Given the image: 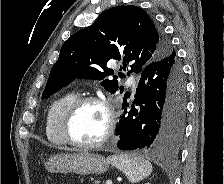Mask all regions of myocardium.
<instances>
[{
    "instance_id": "obj_1",
    "label": "myocardium",
    "mask_w": 224,
    "mask_h": 184,
    "mask_svg": "<svg viewBox=\"0 0 224 184\" xmlns=\"http://www.w3.org/2000/svg\"><path fill=\"white\" fill-rule=\"evenodd\" d=\"M86 103H95L102 106L107 114V123L104 135L95 142L82 143L76 141L71 134V124L73 118L79 108ZM116 127V113L109 100L105 97H99L94 95H82L74 99L68 108L65 110L62 122L61 133L67 144H70L79 149H95L104 145L112 137Z\"/></svg>"
}]
</instances>
